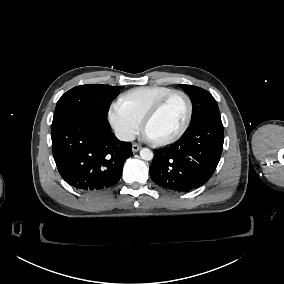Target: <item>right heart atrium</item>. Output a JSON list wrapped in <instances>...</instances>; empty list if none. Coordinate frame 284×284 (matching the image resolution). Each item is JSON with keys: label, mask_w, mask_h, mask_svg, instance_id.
<instances>
[{"label": "right heart atrium", "mask_w": 284, "mask_h": 284, "mask_svg": "<svg viewBox=\"0 0 284 284\" xmlns=\"http://www.w3.org/2000/svg\"><path fill=\"white\" fill-rule=\"evenodd\" d=\"M108 122L115 136L124 142L133 140L141 127V122L128 112L119 109L116 104H112L108 110Z\"/></svg>", "instance_id": "right-heart-atrium-1"}]
</instances>
